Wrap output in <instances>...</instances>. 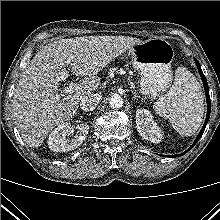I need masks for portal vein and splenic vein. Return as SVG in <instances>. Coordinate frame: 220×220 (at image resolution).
Returning <instances> with one entry per match:
<instances>
[{"label": "portal vein and splenic vein", "mask_w": 220, "mask_h": 220, "mask_svg": "<svg viewBox=\"0 0 220 220\" xmlns=\"http://www.w3.org/2000/svg\"><path fill=\"white\" fill-rule=\"evenodd\" d=\"M82 89V86L78 83L75 82H71L69 83V85L61 92V95H63L62 93L65 94H72L74 92L80 91Z\"/></svg>", "instance_id": "18ae733b"}]
</instances>
